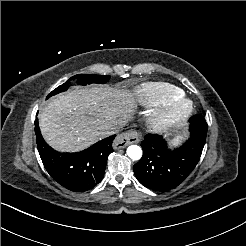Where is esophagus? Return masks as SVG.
<instances>
[{
  "mask_svg": "<svg viewBox=\"0 0 246 246\" xmlns=\"http://www.w3.org/2000/svg\"><path fill=\"white\" fill-rule=\"evenodd\" d=\"M140 141L139 135L135 130H128L119 136L113 142L115 150L126 147L129 144L138 143Z\"/></svg>",
  "mask_w": 246,
  "mask_h": 246,
  "instance_id": "1",
  "label": "esophagus"
}]
</instances>
